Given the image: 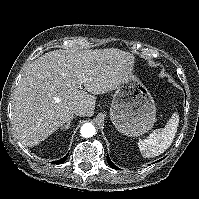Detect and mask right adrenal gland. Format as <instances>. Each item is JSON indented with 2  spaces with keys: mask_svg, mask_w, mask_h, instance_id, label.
Segmentation results:
<instances>
[{
  "mask_svg": "<svg viewBox=\"0 0 199 199\" xmlns=\"http://www.w3.org/2000/svg\"><path fill=\"white\" fill-rule=\"evenodd\" d=\"M73 118L74 117H71L67 122H66V124H64V126L61 128V130H67V129H69L70 128V124H71V122H72V120H73Z\"/></svg>",
  "mask_w": 199,
  "mask_h": 199,
  "instance_id": "1",
  "label": "right adrenal gland"
}]
</instances>
